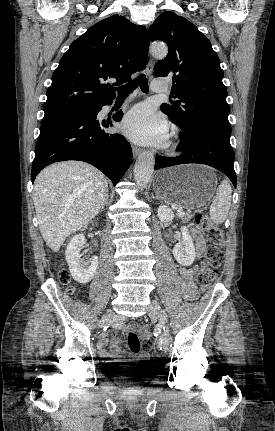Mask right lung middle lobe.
<instances>
[{
    "instance_id": "dd1d6c3e",
    "label": "right lung middle lobe",
    "mask_w": 275,
    "mask_h": 431,
    "mask_svg": "<svg viewBox=\"0 0 275 431\" xmlns=\"http://www.w3.org/2000/svg\"><path fill=\"white\" fill-rule=\"evenodd\" d=\"M70 110L87 111L88 109L86 107H77V108H71Z\"/></svg>"
}]
</instances>
